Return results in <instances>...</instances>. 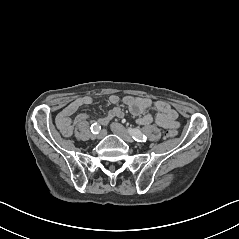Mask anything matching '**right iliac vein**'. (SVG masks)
<instances>
[{
  "label": "right iliac vein",
  "instance_id": "1",
  "mask_svg": "<svg viewBox=\"0 0 239 239\" xmlns=\"http://www.w3.org/2000/svg\"><path fill=\"white\" fill-rule=\"evenodd\" d=\"M106 134H107V131H106L105 129H103V130H101V131L99 132V134H98L97 136H95L94 138L102 139V138H104V137L106 136Z\"/></svg>",
  "mask_w": 239,
  "mask_h": 239
}]
</instances>
